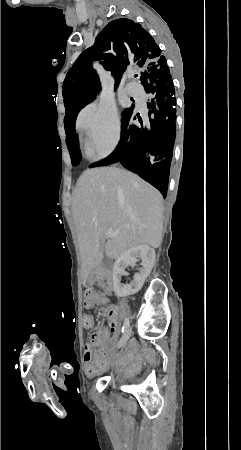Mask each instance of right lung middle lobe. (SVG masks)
<instances>
[{"label":"right lung middle lobe","mask_w":241,"mask_h":450,"mask_svg":"<svg viewBox=\"0 0 241 450\" xmlns=\"http://www.w3.org/2000/svg\"><path fill=\"white\" fill-rule=\"evenodd\" d=\"M99 88L93 87L85 78L68 72L63 82V97L64 105L66 109V115L70 113H78L84 106L93 100L96 93L99 92ZM134 106L126 108L122 112V120L133 113ZM71 163L77 166L81 160L80 152L70 149Z\"/></svg>","instance_id":"dd1d6c3e"}]
</instances>
